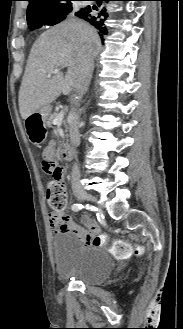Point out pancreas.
<instances>
[{
    "instance_id": "1",
    "label": "pancreas",
    "mask_w": 183,
    "mask_h": 329,
    "mask_svg": "<svg viewBox=\"0 0 183 329\" xmlns=\"http://www.w3.org/2000/svg\"><path fill=\"white\" fill-rule=\"evenodd\" d=\"M57 116H58L57 113H53L48 117L47 122H46L48 127H52V122Z\"/></svg>"
}]
</instances>
